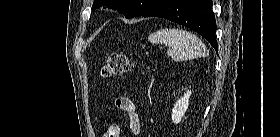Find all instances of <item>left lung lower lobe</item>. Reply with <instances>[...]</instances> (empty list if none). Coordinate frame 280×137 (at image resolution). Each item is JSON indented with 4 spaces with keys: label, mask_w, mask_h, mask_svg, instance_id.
I'll return each mask as SVG.
<instances>
[{
    "label": "left lung lower lobe",
    "mask_w": 280,
    "mask_h": 137,
    "mask_svg": "<svg viewBox=\"0 0 280 137\" xmlns=\"http://www.w3.org/2000/svg\"><path fill=\"white\" fill-rule=\"evenodd\" d=\"M142 16L161 17L186 26L218 49L212 0H161Z\"/></svg>",
    "instance_id": "left-lung-lower-lobe-1"
}]
</instances>
